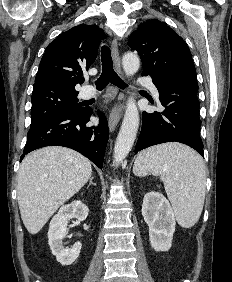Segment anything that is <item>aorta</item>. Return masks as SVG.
Masks as SVG:
<instances>
[{"mask_svg": "<svg viewBox=\"0 0 232 282\" xmlns=\"http://www.w3.org/2000/svg\"><path fill=\"white\" fill-rule=\"evenodd\" d=\"M124 72L127 76L134 75L139 67L140 60L133 52H126L122 58ZM139 111L133 98L126 103V110L121 129L114 147V163L119 164L131 151L139 127Z\"/></svg>", "mask_w": 232, "mask_h": 282, "instance_id": "obj_1", "label": "aorta"}]
</instances>
